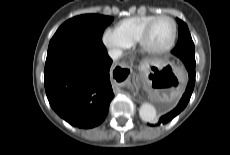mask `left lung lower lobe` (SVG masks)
Instances as JSON below:
<instances>
[{
	"label": "left lung lower lobe",
	"mask_w": 230,
	"mask_h": 155,
	"mask_svg": "<svg viewBox=\"0 0 230 155\" xmlns=\"http://www.w3.org/2000/svg\"><path fill=\"white\" fill-rule=\"evenodd\" d=\"M195 58V54H194ZM183 63L189 74V82L186 87L185 93L183 94L181 100L177 106L170 112L164 114L160 117L159 121L155 125L166 124L171 121L175 116H177L187 105L195 85V60H191L190 57H182Z\"/></svg>",
	"instance_id": "1"
}]
</instances>
